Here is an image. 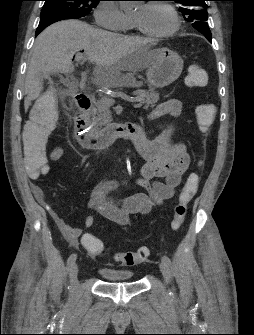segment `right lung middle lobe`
<instances>
[{"label": "right lung middle lobe", "mask_w": 254, "mask_h": 335, "mask_svg": "<svg viewBox=\"0 0 254 335\" xmlns=\"http://www.w3.org/2000/svg\"><path fill=\"white\" fill-rule=\"evenodd\" d=\"M40 17L65 15L72 19L84 17L97 6L100 0H44Z\"/></svg>", "instance_id": "right-lung-middle-lobe-1"}]
</instances>
